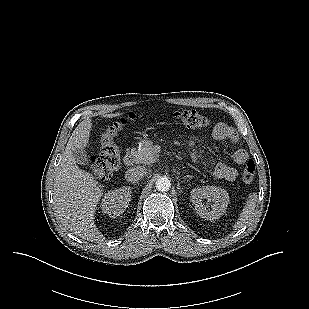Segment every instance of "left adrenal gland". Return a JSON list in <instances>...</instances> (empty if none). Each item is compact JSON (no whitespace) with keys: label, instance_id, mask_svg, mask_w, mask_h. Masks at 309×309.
I'll list each match as a JSON object with an SVG mask.
<instances>
[{"label":"left adrenal gland","instance_id":"a2214340","mask_svg":"<svg viewBox=\"0 0 309 309\" xmlns=\"http://www.w3.org/2000/svg\"><path fill=\"white\" fill-rule=\"evenodd\" d=\"M187 178L192 179V176L187 175V176L184 177V180H186Z\"/></svg>","mask_w":309,"mask_h":309}]
</instances>
